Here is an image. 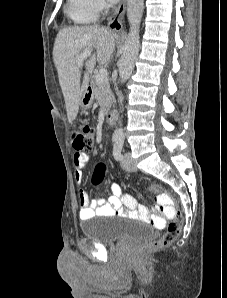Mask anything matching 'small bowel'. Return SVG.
<instances>
[{"label":"small bowel","mask_w":227,"mask_h":298,"mask_svg":"<svg viewBox=\"0 0 227 298\" xmlns=\"http://www.w3.org/2000/svg\"><path fill=\"white\" fill-rule=\"evenodd\" d=\"M88 159L86 150H75L73 157L74 178L79 185L83 181L84 169ZM111 192L112 195L105 201L101 197L89 198L87 192L84 189H80V219L88 220L95 216H126L128 212L124 204L129 210V215L137 218H146L148 216L147 208L138 205L133 198L124 196L122 187L118 183L113 182L111 184Z\"/></svg>","instance_id":"small-bowel-1"}]
</instances>
